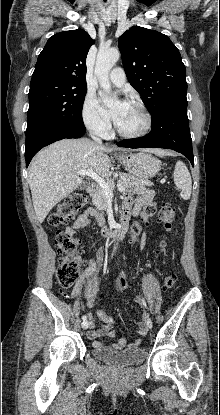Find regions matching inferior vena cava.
<instances>
[{"label":"inferior vena cava","mask_w":220,"mask_h":415,"mask_svg":"<svg viewBox=\"0 0 220 415\" xmlns=\"http://www.w3.org/2000/svg\"><path fill=\"white\" fill-rule=\"evenodd\" d=\"M92 137V139L98 144V145H102V140L101 139H99V138H97V137H95V136H91Z\"/></svg>","instance_id":"inferior-vena-cava-1"}]
</instances>
